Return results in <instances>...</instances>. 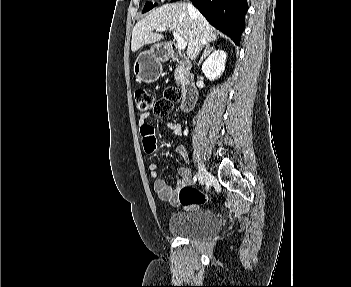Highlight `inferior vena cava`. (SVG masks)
<instances>
[{
  "instance_id": "obj_1",
  "label": "inferior vena cava",
  "mask_w": 351,
  "mask_h": 287,
  "mask_svg": "<svg viewBox=\"0 0 351 287\" xmlns=\"http://www.w3.org/2000/svg\"><path fill=\"white\" fill-rule=\"evenodd\" d=\"M188 10L191 14H195L196 13V9L192 4H188Z\"/></svg>"
}]
</instances>
